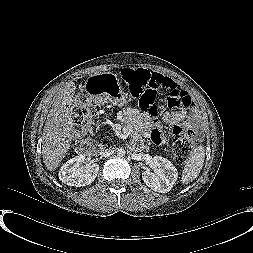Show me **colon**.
I'll return each mask as SVG.
<instances>
[{"label": "colon", "mask_w": 253, "mask_h": 253, "mask_svg": "<svg viewBox=\"0 0 253 253\" xmlns=\"http://www.w3.org/2000/svg\"><path fill=\"white\" fill-rule=\"evenodd\" d=\"M129 94L139 100L140 108L147 114L154 116L158 113L157 94L164 91L171 106H188L191 98L163 77L141 68H126L122 70ZM90 121V104L86 97L80 96L74 108V122L79 128L85 127ZM195 135L187 130L183 135L174 139L172 143V156L174 161L182 165L190 155Z\"/></svg>", "instance_id": "5ec220e1"}]
</instances>
